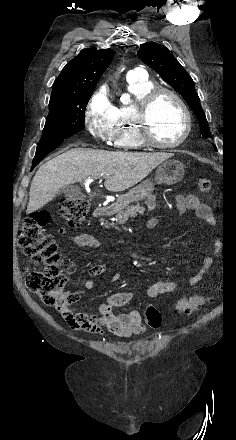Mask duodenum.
I'll return each mask as SVG.
<instances>
[{
    "mask_svg": "<svg viewBox=\"0 0 236 440\" xmlns=\"http://www.w3.org/2000/svg\"><path fill=\"white\" fill-rule=\"evenodd\" d=\"M111 210L112 207L110 205H100L93 211V216L95 218H100L107 215Z\"/></svg>",
    "mask_w": 236,
    "mask_h": 440,
    "instance_id": "1",
    "label": "duodenum"
}]
</instances>
